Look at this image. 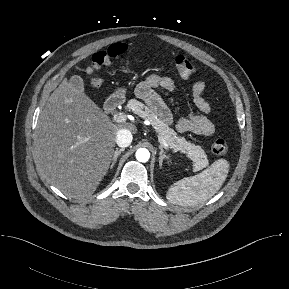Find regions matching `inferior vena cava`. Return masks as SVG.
Masks as SVG:
<instances>
[{"mask_svg": "<svg viewBox=\"0 0 289 289\" xmlns=\"http://www.w3.org/2000/svg\"><path fill=\"white\" fill-rule=\"evenodd\" d=\"M132 134L127 129H120L116 134V143L119 147H128L132 142Z\"/></svg>", "mask_w": 289, "mask_h": 289, "instance_id": "obj_1", "label": "inferior vena cava"}]
</instances>
